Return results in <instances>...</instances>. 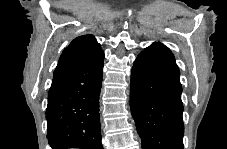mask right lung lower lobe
Instances as JSON below:
<instances>
[{
	"label": "right lung lower lobe",
	"instance_id": "98d812e1",
	"mask_svg": "<svg viewBox=\"0 0 227 149\" xmlns=\"http://www.w3.org/2000/svg\"><path fill=\"white\" fill-rule=\"evenodd\" d=\"M103 60L53 77L46 109L52 149H102L99 96Z\"/></svg>",
	"mask_w": 227,
	"mask_h": 149
}]
</instances>
